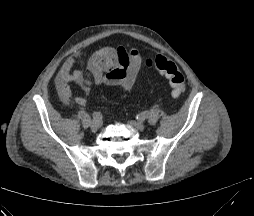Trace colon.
I'll return each instance as SVG.
<instances>
[{
  "label": "colon",
  "instance_id": "5ec220e1",
  "mask_svg": "<svg viewBox=\"0 0 254 216\" xmlns=\"http://www.w3.org/2000/svg\"><path fill=\"white\" fill-rule=\"evenodd\" d=\"M144 65L147 68L156 70L168 80L173 97H179L184 93L185 78L173 61L164 56H156L154 58H147L144 61ZM92 77V72L85 74V80H90Z\"/></svg>",
  "mask_w": 254,
  "mask_h": 216
}]
</instances>
